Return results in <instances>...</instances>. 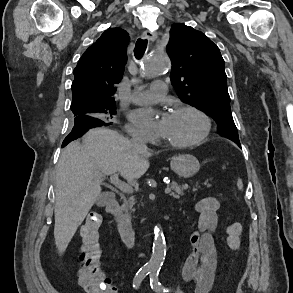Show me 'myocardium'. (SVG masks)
I'll use <instances>...</instances> for the list:
<instances>
[{"instance_id":"obj_1","label":"myocardium","mask_w":293,"mask_h":293,"mask_svg":"<svg viewBox=\"0 0 293 293\" xmlns=\"http://www.w3.org/2000/svg\"><path fill=\"white\" fill-rule=\"evenodd\" d=\"M182 111H190V112H193L194 114H196L203 122V130L197 138L190 140V141L176 142V141L164 139V143L169 147L187 148V147L197 146V145L203 143L210 135V132L212 129V124H211V120H210L209 116L205 112H203L199 108H197L193 105H189V104L179 105L173 110V112H182Z\"/></svg>"}]
</instances>
